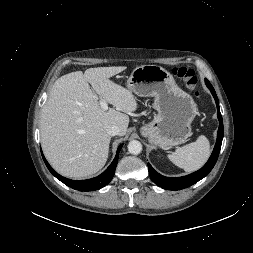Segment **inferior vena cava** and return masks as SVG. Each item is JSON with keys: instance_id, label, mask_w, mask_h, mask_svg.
Instances as JSON below:
<instances>
[{"instance_id": "obj_1", "label": "inferior vena cava", "mask_w": 253, "mask_h": 253, "mask_svg": "<svg viewBox=\"0 0 253 253\" xmlns=\"http://www.w3.org/2000/svg\"><path fill=\"white\" fill-rule=\"evenodd\" d=\"M107 133L110 136H116L120 134V128L117 125H112L110 127H108L107 129Z\"/></svg>"}]
</instances>
